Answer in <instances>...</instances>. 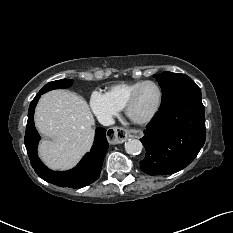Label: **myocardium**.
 Here are the masks:
<instances>
[{"label": "myocardium", "mask_w": 233, "mask_h": 233, "mask_svg": "<svg viewBox=\"0 0 233 233\" xmlns=\"http://www.w3.org/2000/svg\"><path fill=\"white\" fill-rule=\"evenodd\" d=\"M149 84L154 85L158 90L157 103H156L155 107L153 108V110L150 113H148L147 115H145L143 117L135 116L133 114V108H134V106H135V104L137 102L139 93H140V91L142 90V88L144 86L149 85ZM162 102H163V91H162V88L160 87V85L155 81L147 80V81L142 82L132 92V94L130 95V97L128 98V100L126 102L124 110H125V113H126L127 117L131 121H133L134 123H136V124H146V123L150 122L156 116V114L158 113V111L161 108Z\"/></svg>", "instance_id": "myocardium-1"}]
</instances>
